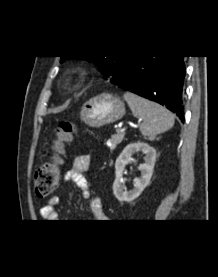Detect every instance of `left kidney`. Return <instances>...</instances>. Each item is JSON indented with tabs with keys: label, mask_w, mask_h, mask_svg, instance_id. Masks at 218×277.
Segmentation results:
<instances>
[{
	"label": "left kidney",
	"mask_w": 218,
	"mask_h": 277,
	"mask_svg": "<svg viewBox=\"0 0 218 277\" xmlns=\"http://www.w3.org/2000/svg\"><path fill=\"white\" fill-rule=\"evenodd\" d=\"M142 152L145 154V163L140 164L138 169L141 171V177L134 180V188L127 191L124 184L123 172L127 163L134 161L132 155ZM156 161V150L145 143H132L127 145L115 162V180L113 183V193L120 201L131 202L136 199L142 191L148 186L153 175V169Z\"/></svg>",
	"instance_id": "obj_1"
}]
</instances>
